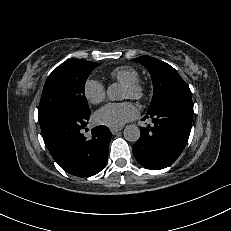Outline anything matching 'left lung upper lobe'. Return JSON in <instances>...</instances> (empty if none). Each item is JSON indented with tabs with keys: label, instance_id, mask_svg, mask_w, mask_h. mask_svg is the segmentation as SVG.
Here are the masks:
<instances>
[{
	"label": "left lung upper lobe",
	"instance_id": "1",
	"mask_svg": "<svg viewBox=\"0 0 231 231\" xmlns=\"http://www.w3.org/2000/svg\"><path fill=\"white\" fill-rule=\"evenodd\" d=\"M132 61L143 64L151 74L154 94L148 111L170 98L191 97L189 86L169 64L150 56H141Z\"/></svg>",
	"mask_w": 231,
	"mask_h": 231
}]
</instances>
